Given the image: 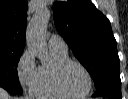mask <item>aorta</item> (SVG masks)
<instances>
[{"label": "aorta", "instance_id": "1", "mask_svg": "<svg viewBox=\"0 0 128 99\" xmlns=\"http://www.w3.org/2000/svg\"><path fill=\"white\" fill-rule=\"evenodd\" d=\"M49 18V11L47 9H40L31 19L27 29V46L35 52L36 56L42 63H45L48 59V50L44 31Z\"/></svg>", "mask_w": 128, "mask_h": 99}]
</instances>
